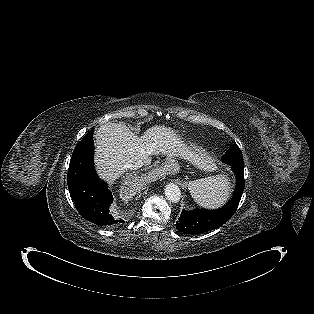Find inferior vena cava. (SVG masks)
<instances>
[{"label":"inferior vena cava","instance_id":"602c4592","mask_svg":"<svg viewBox=\"0 0 314 314\" xmlns=\"http://www.w3.org/2000/svg\"><path fill=\"white\" fill-rule=\"evenodd\" d=\"M144 165V162L142 160H137L131 163H128L126 165V168L132 169V170H136L140 167H142Z\"/></svg>","mask_w":314,"mask_h":314}]
</instances>
